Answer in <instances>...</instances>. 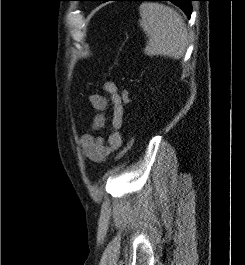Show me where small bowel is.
I'll list each match as a JSON object with an SVG mask.
<instances>
[{"label":"small bowel","instance_id":"1","mask_svg":"<svg viewBox=\"0 0 245 265\" xmlns=\"http://www.w3.org/2000/svg\"><path fill=\"white\" fill-rule=\"evenodd\" d=\"M104 90L107 96L101 94H91L88 97L89 103L96 114L92 129L100 130L106 126L107 111H111V132L105 142L102 137L91 133L83 135L79 139V145L84 156L94 162L105 160L112 152L119 149L123 142L121 127L123 122L124 106L121 92L114 82H105Z\"/></svg>","mask_w":245,"mask_h":265}]
</instances>
